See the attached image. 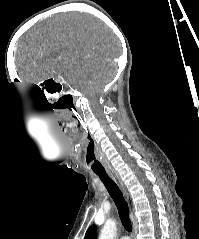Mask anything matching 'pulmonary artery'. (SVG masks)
<instances>
[{"mask_svg": "<svg viewBox=\"0 0 199 239\" xmlns=\"http://www.w3.org/2000/svg\"><path fill=\"white\" fill-rule=\"evenodd\" d=\"M120 239H129L127 236H122Z\"/></svg>", "mask_w": 199, "mask_h": 239, "instance_id": "obj_1", "label": "pulmonary artery"}]
</instances>
